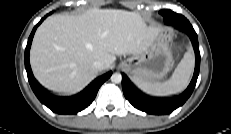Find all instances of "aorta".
Masks as SVG:
<instances>
[{"label": "aorta", "instance_id": "obj_1", "mask_svg": "<svg viewBox=\"0 0 231 134\" xmlns=\"http://www.w3.org/2000/svg\"><path fill=\"white\" fill-rule=\"evenodd\" d=\"M111 81L113 83H120L122 81V75L120 73H113L111 76Z\"/></svg>", "mask_w": 231, "mask_h": 134}]
</instances>
